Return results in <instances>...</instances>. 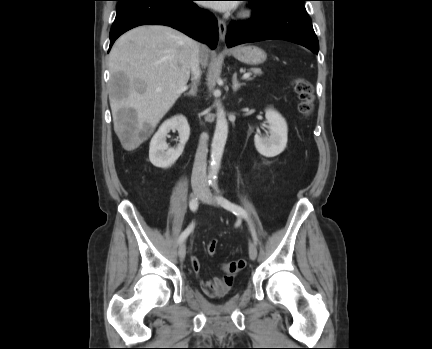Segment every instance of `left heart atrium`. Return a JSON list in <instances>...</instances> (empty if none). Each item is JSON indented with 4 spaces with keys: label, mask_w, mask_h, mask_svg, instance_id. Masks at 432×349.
<instances>
[{
    "label": "left heart atrium",
    "mask_w": 432,
    "mask_h": 349,
    "mask_svg": "<svg viewBox=\"0 0 432 349\" xmlns=\"http://www.w3.org/2000/svg\"><path fill=\"white\" fill-rule=\"evenodd\" d=\"M210 7H213L219 11H229L234 8L235 4L232 1H226V2H216L213 4H209Z\"/></svg>",
    "instance_id": "obj_1"
}]
</instances>
